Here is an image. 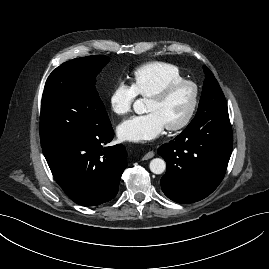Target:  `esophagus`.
<instances>
[{
	"label": "esophagus",
	"instance_id": "1",
	"mask_svg": "<svg viewBox=\"0 0 269 269\" xmlns=\"http://www.w3.org/2000/svg\"><path fill=\"white\" fill-rule=\"evenodd\" d=\"M154 156V152L153 151H149L148 153H146L144 156H143V159L144 160H148L150 158H152Z\"/></svg>",
	"mask_w": 269,
	"mask_h": 269
}]
</instances>
